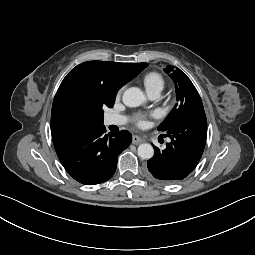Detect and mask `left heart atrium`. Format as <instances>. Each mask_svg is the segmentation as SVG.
Instances as JSON below:
<instances>
[{
    "label": "left heart atrium",
    "mask_w": 255,
    "mask_h": 255,
    "mask_svg": "<svg viewBox=\"0 0 255 255\" xmlns=\"http://www.w3.org/2000/svg\"><path fill=\"white\" fill-rule=\"evenodd\" d=\"M136 124L140 127H144L146 125V118L144 115H138L135 118Z\"/></svg>",
    "instance_id": "1"
}]
</instances>
